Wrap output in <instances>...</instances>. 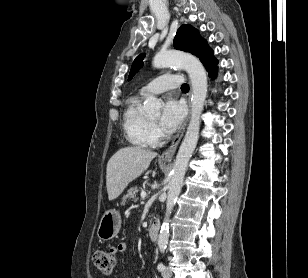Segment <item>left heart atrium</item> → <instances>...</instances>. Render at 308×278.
Wrapping results in <instances>:
<instances>
[{
    "label": "left heart atrium",
    "mask_w": 308,
    "mask_h": 278,
    "mask_svg": "<svg viewBox=\"0 0 308 278\" xmlns=\"http://www.w3.org/2000/svg\"><path fill=\"white\" fill-rule=\"evenodd\" d=\"M184 117V105L173 98H169L163 104L159 123L163 130L171 133L181 125Z\"/></svg>",
    "instance_id": "1"
}]
</instances>
